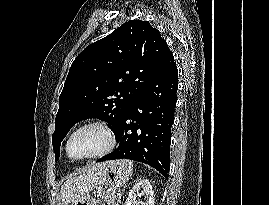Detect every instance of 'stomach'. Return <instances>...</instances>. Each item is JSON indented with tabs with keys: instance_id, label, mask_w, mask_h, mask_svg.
Segmentation results:
<instances>
[{
	"instance_id": "0dacf381",
	"label": "stomach",
	"mask_w": 269,
	"mask_h": 205,
	"mask_svg": "<svg viewBox=\"0 0 269 205\" xmlns=\"http://www.w3.org/2000/svg\"><path fill=\"white\" fill-rule=\"evenodd\" d=\"M132 172L133 163L129 160L109 162L94 188L95 195L88 193L72 201L70 205H98L96 196L109 204L117 197L119 189L130 179Z\"/></svg>"
}]
</instances>
